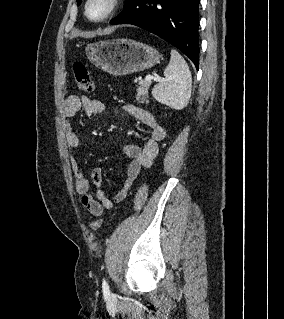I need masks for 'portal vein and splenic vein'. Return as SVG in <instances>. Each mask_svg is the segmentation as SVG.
<instances>
[{"mask_svg": "<svg viewBox=\"0 0 284 319\" xmlns=\"http://www.w3.org/2000/svg\"><path fill=\"white\" fill-rule=\"evenodd\" d=\"M152 80L159 82V81H161V77H153L152 75H147L145 77L146 82H151Z\"/></svg>", "mask_w": 284, "mask_h": 319, "instance_id": "obj_1", "label": "portal vein and splenic vein"}]
</instances>
